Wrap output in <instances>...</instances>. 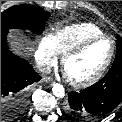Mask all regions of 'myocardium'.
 Returning <instances> with one entry per match:
<instances>
[{
    "label": "myocardium",
    "mask_w": 122,
    "mask_h": 122,
    "mask_svg": "<svg viewBox=\"0 0 122 122\" xmlns=\"http://www.w3.org/2000/svg\"><path fill=\"white\" fill-rule=\"evenodd\" d=\"M101 40H108L111 43V51H110V54H109L106 62L94 75H92L89 78L83 79V80H74L66 75L67 80L71 85H73L75 87H87V86H90V85L96 83L98 80H100L113 61V58L115 55V50H116L115 41L111 37L106 36V35L97 36V37L89 38V39L81 42L80 44L76 45L75 47L68 50L65 54H63L61 63H62L63 68H65L66 63L70 58L79 55L90 45H92L98 41H101Z\"/></svg>",
    "instance_id": "1"
}]
</instances>
